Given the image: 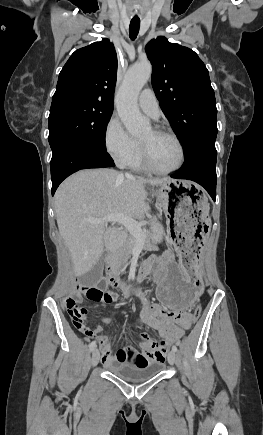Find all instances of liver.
Returning a JSON list of instances; mask_svg holds the SVG:
<instances>
[{
	"label": "liver",
	"mask_w": 263,
	"mask_h": 435,
	"mask_svg": "<svg viewBox=\"0 0 263 435\" xmlns=\"http://www.w3.org/2000/svg\"><path fill=\"white\" fill-rule=\"evenodd\" d=\"M171 178H138L112 169L81 170L67 178L55 193V214L59 233L74 264V273L89 272L105 251L115 252L126 241V234L89 219L123 214L142 219L149 211L146 184L162 185ZM156 240L162 238V226L153 221Z\"/></svg>",
	"instance_id": "obj_1"
}]
</instances>
